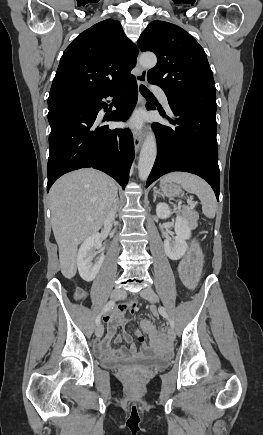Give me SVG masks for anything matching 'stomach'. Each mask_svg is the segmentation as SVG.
Returning <instances> with one entry per match:
<instances>
[{
  "label": "stomach",
  "instance_id": "1",
  "mask_svg": "<svg viewBox=\"0 0 263 435\" xmlns=\"http://www.w3.org/2000/svg\"><path fill=\"white\" fill-rule=\"evenodd\" d=\"M160 189L165 196L174 197L182 193V188L179 184L167 182L160 185ZM188 246L192 247L193 251H199L201 246V239L197 238L196 234H190L188 239ZM201 254H193L192 260H182L180 275L182 277L185 288H198L200 286V271L201 268Z\"/></svg>",
  "mask_w": 263,
  "mask_h": 435
}]
</instances>
